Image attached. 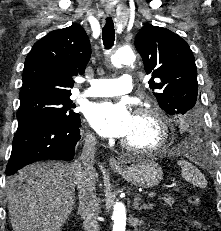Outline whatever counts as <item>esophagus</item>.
Masks as SVG:
<instances>
[{
  "label": "esophagus",
  "instance_id": "obj_1",
  "mask_svg": "<svg viewBox=\"0 0 221 231\" xmlns=\"http://www.w3.org/2000/svg\"><path fill=\"white\" fill-rule=\"evenodd\" d=\"M107 15L108 16H113L114 15V11L108 10L107 11ZM108 162H109V165L112 166V167H119V166L122 165L121 162L117 158H115V157H110L109 160H108Z\"/></svg>",
  "mask_w": 221,
  "mask_h": 231
}]
</instances>
